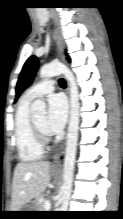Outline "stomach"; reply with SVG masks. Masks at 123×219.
Segmentation results:
<instances>
[{
	"label": "stomach",
	"mask_w": 123,
	"mask_h": 219,
	"mask_svg": "<svg viewBox=\"0 0 123 219\" xmlns=\"http://www.w3.org/2000/svg\"><path fill=\"white\" fill-rule=\"evenodd\" d=\"M55 172V171H54ZM56 173V172H55ZM36 209V205L34 202H28L27 204H25L23 206V208L20 211H35ZM20 216H27L29 215V213L27 212H22L21 214H19Z\"/></svg>",
	"instance_id": "0dacf381"
}]
</instances>
